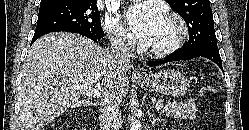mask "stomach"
I'll return each mask as SVG.
<instances>
[{"label": "stomach", "instance_id": "1", "mask_svg": "<svg viewBox=\"0 0 249 130\" xmlns=\"http://www.w3.org/2000/svg\"><path fill=\"white\" fill-rule=\"evenodd\" d=\"M138 82L152 91L174 97L184 95L190 88L188 78L175 70H163L145 78H138Z\"/></svg>", "mask_w": 249, "mask_h": 130}]
</instances>
